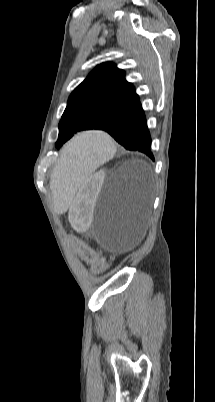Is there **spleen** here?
Segmentation results:
<instances>
[{
	"label": "spleen",
	"mask_w": 215,
	"mask_h": 402,
	"mask_svg": "<svg viewBox=\"0 0 215 402\" xmlns=\"http://www.w3.org/2000/svg\"><path fill=\"white\" fill-rule=\"evenodd\" d=\"M114 152L110 133L105 128H84L83 133H73V140L65 144L62 159L51 172L52 178H56L50 187L54 197H58L56 215H63L69 209L74 193H81L83 184L93 181L98 166Z\"/></svg>",
	"instance_id": "obj_1"
}]
</instances>
